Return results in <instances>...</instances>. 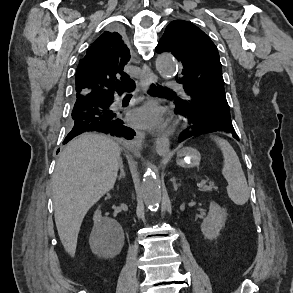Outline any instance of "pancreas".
<instances>
[{
  "label": "pancreas",
  "instance_id": "obj_1",
  "mask_svg": "<svg viewBox=\"0 0 293 293\" xmlns=\"http://www.w3.org/2000/svg\"><path fill=\"white\" fill-rule=\"evenodd\" d=\"M213 190H218V187L214 185V183H209V185H205L202 187L203 192H212Z\"/></svg>",
  "mask_w": 293,
  "mask_h": 293
}]
</instances>
